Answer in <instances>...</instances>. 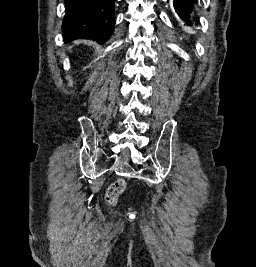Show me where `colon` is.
<instances>
[{
    "instance_id": "obj_1",
    "label": "colon",
    "mask_w": 256,
    "mask_h": 267,
    "mask_svg": "<svg viewBox=\"0 0 256 267\" xmlns=\"http://www.w3.org/2000/svg\"><path fill=\"white\" fill-rule=\"evenodd\" d=\"M126 182L123 179H118L110 184L104 198L108 204H113L117 201L119 196L125 191Z\"/></svg>"
}]
</instances>
